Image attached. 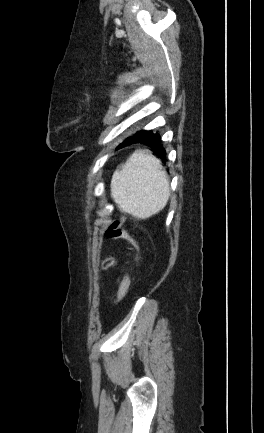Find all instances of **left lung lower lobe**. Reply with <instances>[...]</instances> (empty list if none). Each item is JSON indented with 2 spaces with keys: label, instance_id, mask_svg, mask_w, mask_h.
Returning a JSON list of instances; mask_svg holds the SVG:
<instances>
[{
  "label": "left lung lower lobe",
  "instance_id": "obj_1",
  "mask_svg": "<svg viewBox=\"0 0 264 433\" xmlns=\"http://www.w3.org/2000/svg\"><path fill=\"white\" fill-rule=\"evenodd\" d=\"M133 143H141L149 146L158 158H160L163 162L166 161V151L162 147L161 137L158 133H154L152 130L137 131L133 136L128 137L124 142H122L118 148H122Z\"/></svg>",
  "mask_w": 264,
  "mask_h": 433
}]
</instances>
